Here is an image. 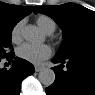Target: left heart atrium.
Instances as JSON below:
<instances>
[{
    "mask_svg": "<svg viewBox=\"0 0 95 95\" xmlns=\"http://www.w3.org/2000/svg\"><path fill=\"white\" fill-rule=\"evenodd\" d=\"M51 55V49L47 45H33L25 43L18 47L17 56L33 64H39Z\"/></svg>",
    "mask_w": 95,
    "mask_h": 95,
    "instance_id": "left-heart-atrium-1",
    "label": "left heart atrium"
}]
</instances>
